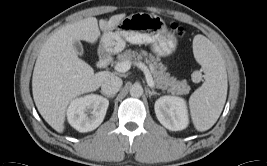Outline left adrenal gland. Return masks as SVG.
I'll return each mask as SVG.
<instances>
[{"label": "left adrenal gland", "instance_id": "left-adrenal-gland-1", "mask_svg": "<svg viewBox=\"0 0 267 166\" xmlns=\"http://www.w3.org/2000/svg\"><path fill=\"white\" fill-rule=\"evenodd\" d=\"M146 92L148 93V95H149V98H151V96H156V95H159V93H157L156 91H154V90H150L149 88L148 89H146Z\"/></svg>", "mask_w": 267, "mask_h": 166}]
</instances>
